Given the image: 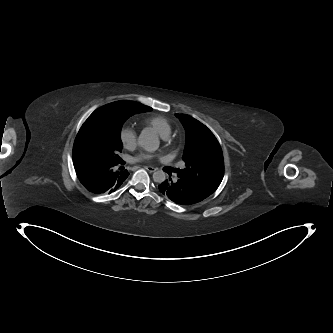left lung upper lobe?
Returning a JSON list of instances; mask_svg holds the SVG:
<instances>
[{
  "instance_id": "left-lung-upper-lobe-1",
  "label": "left lung upper lobe",
  "mask_w": 333,
  "mask_h": 333,
  "mask_svg": "<svg viewBox=\"0 0 333 333\" xmlns=\"http://www.w3.org/2000/svg\"><path fill=\"white\" fill-rule=\"evenodd\" d=\"M176 116L186 130V146L182 158L185 168L176 171L177 177L208 197L218 188L224 176L221 147L204 124L189 115Z\"/></svg>"
}]
</instances>
